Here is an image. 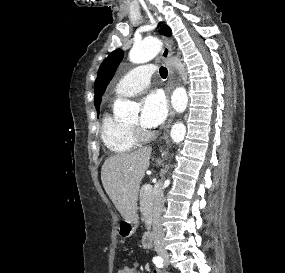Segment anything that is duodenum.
Listing matches in <instances>:
<instances>
[{
  "mask_svg": "<svg viewBox=\"0 0 285 273\" xmlns=\"http://www.w3.org/2000/svg\"><path fill=\"white\" fill-rule=\"evenodd\" d=\"M153 234L150 231H147L143 234L142 237V244L144 248L149 249L152 245Z\"/></svg>",
  "mask_w": 285,
  "mask_h": 273,
  "instance_id": "410a0bca",
  "label": "duodenum"
}]
</instances>
